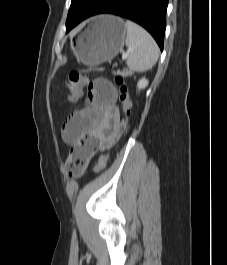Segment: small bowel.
<instances>
[{"label":"small bowel","mask_w":227,"mask_h":265,"mask_svg":"<svg viewBox=\"0 0 227 265\" xmlns=\"http://www.w3.org/2000/svg\"><path fill=\"white\" fill-rule=\"evenodd\" d=\"M117 92L106 79L99 78L90 83L87 91L89 105L71 113L62 128L65 143L77 148L90 159L111 146L124 130L116 105Z\"/></svg>","instance_id":"obj_1"}]
</instances>
